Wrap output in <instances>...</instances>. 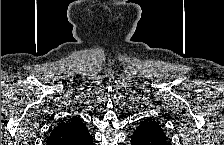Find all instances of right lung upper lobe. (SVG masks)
Segmentation results:
<instances>
[{
  "label": "right lung upper lobe",
  "instance_id": "right-lung-upper-lobe-1",
  "mask_svg": "<svg viewBox=\"0 0 224 145\" xmlns=\"http://www.w3.org/2000/svg\"><path fill=\"white\" fill-rule=\"evenodd\" d=\"M91 138L84 123L79 118L73 117L52 130L47 145H87Z\"/></svg>",
  "mask_w": 224,
  "mask_h": 145
}]
</instances>
